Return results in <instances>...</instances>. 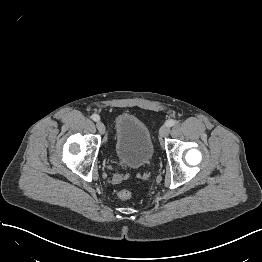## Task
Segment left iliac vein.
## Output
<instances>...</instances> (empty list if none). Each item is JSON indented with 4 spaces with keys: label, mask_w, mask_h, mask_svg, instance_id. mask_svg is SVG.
Here are the masks:
<instances>
[{
    "label": "left iliac vein",
    "mask_w": 262,
    "mask_h": 262,
    "mask_svg": "<svg viewBox=\"0 0 262 262\" xmlns=\"http://www.w3.org/2000/svg\"><path fill=\"white\" fill-rule=\"evenodd\" d=\"M170 132V127L168 125H163L159 131L160 138L166 137Z\"/></svg>",
    "instance_id": "obj_1"
}]
</instances>
